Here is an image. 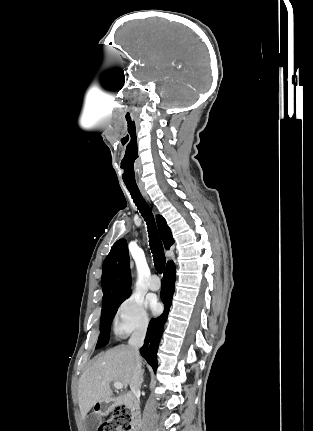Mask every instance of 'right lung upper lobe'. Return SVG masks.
<instances>
[{
    "mask_svg": "<svg viewBox=\"0 0 313 431\" xmlns=\"http://www.w3.org/2000/svg\"><path fill=\"white\" fill-rule=\"evenodd\" d=\"M157 224L165 248L169 249L174 243L171 230L160 215L157 216ZM130 287L131 273L127 241L120 239L113 245L103 264V303L129 296Z\"/></svg>",
    "mask_w": 313,
    "mask_h": 431,
    "instance_id": "1",
    "label": "right lung upper lobe"
}]
</instances>
